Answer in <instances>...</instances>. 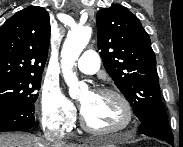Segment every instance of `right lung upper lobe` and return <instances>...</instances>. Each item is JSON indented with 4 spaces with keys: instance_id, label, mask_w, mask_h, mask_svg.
<instances>
[{
    "instance_id": "right-lung-upper-lobe-1",
    "label": "right lung upper lobe",
    "mask_w": 183,
    "mask_h": 147,
    "mask_svg": "<svg viewBox=\"0 0 183 147\" xmlns=\"http://www.w3.org/2000/svg\"><path fill=\"white\" fill-rule=\"evenodd\" d=\"M50 41L49 14L27 7L0 28V80L42 75Z\"/></svg>"
}]
</instances>
